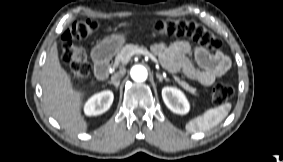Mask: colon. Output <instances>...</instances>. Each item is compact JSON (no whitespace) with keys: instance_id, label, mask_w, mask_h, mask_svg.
Masks as SVG:
<instances>
[{"instance_id":"colon-1","label":"colon","mask_w":283,"mask_h":162,"mask_svg":"<svg viewBox=\"0 0 283 162\" xmlns=\"http://www.w3.org/2000/svg\"><path fill=\"white\" fill-rule=\"evenodd\" d=\"M98 24L94 20H81L73 23L62 35V60L69 67L71 79L81 83L89 75L91 66L85 48L78 44L95 33ZM153 31L159 36L188 37L210 50H219L221 40L201 24L185 19L157 20ZM234 94L229 83H217L212 90V100L221 105Z\"/></svg>"}]
</instances>
